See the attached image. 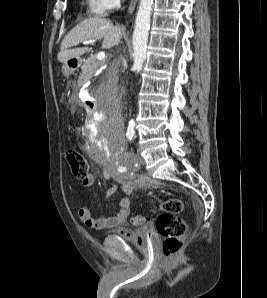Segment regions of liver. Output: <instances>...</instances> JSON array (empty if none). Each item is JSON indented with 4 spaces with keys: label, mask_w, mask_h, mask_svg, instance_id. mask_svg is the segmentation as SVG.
Returning a JSON list of instances; mask_svg holds the SVG:
<instances>
[{
    "label": "liver",
    "mask_w": 267,
    "mask_h": 298,
    "mask_svg": "<svg viewBox=\"0 0 267 298\" xmlns=\"http://www.w3.org/2000/svg\"><path fill=\"white\" fill-rule=\"evenodd\" d=\"M122 35L121 27L114 26L108 19L99 17L85 19L64 37L57 56L58 61L65 63L70 59L80 58L81 55L88 52V47L71 48L83 41L103 39L102 48L110 49L120 42Z\"/></svg>",
    "instance_id": "6515ba94"
}]
</instances>
